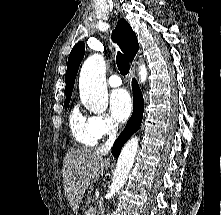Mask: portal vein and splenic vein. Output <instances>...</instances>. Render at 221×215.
<instances>
[{"label":"portal vein and splenic vein","instance_id":"18ae733b","mask_svg":"<svg viewBox=\"0 0 221 215\" xmlns=\"http://www.w3.org/2000/svg\"><path fill=\"white\" fill-rule=\"evenodd\" d=\"M93 211H94V208L90 207V208L88 209V215H90Z\"/></svg>","mask_w":221,"mask_h":215}]
</instances>
